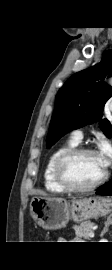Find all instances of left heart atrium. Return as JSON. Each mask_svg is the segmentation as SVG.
<instances>
[{"label":"left heart atrium","mask_w":112,"mask_h":270,"mask_svg":"<svg viewBox=\"0 0 112 270\" xmlns=\"http://www.w3.org/2000/svg\"><path fill=\"white\" fill-rule=\"evenodd\" d=\"M97 154L102 162L104 169H106L109 166L112 158V148L108 143L103 142L100 145V150Z\"/></svg>","instance_id":"39dd6f15"}]
</instances>
